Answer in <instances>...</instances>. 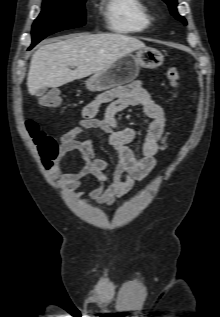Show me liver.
<instances>
[{"label": "liver", "mask_w": 220, "mask_h": 317, "mask_svg": "<svg viewBox=\"0 0 220 317\" xmlns=\"http://www.w3.org/2000/svg\"><path fill=\"white\" fill-rule=\"evenodd\" d=\"M146 48L122 34H78L41 46L32 55L27 77L31 95L46 87H60L108 69L122 56ZM69 67H76L71 70Z\"/></svg>", "instance_id": "liver-1"}]
</instances>
